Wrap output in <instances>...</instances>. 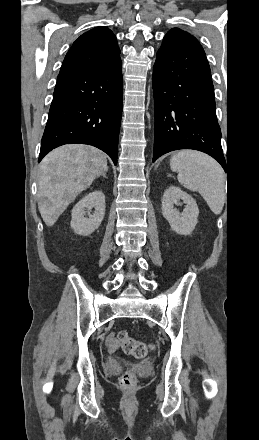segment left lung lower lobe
Wrapping results in <instances>:
<instances>
[{"label":"left lung lower lobe","instance_id":"left-lung-lower-lobe-1","mask_svg":"<svg viewBox=\"0 0 259 440\" xmlns=\"http://www.w3.org/2000/svg\"><path fill=\"white\" fill-rule=\"evenodd\" d=\"M155 136L153 162L179 149L199 150L226 171L214 87L198 41L165 36L153 68Z\"/></svg>","mask_w":259,"mask_h":440}]
</instances>
